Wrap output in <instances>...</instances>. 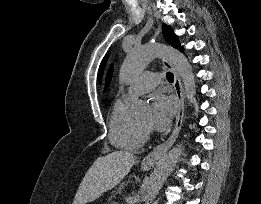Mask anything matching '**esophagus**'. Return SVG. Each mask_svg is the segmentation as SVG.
Masks as SVG:
<instances>
[{"label": "esophagus", "instance_id": "1", "mask_svg": "<svg viewBox=\"0 0 261 204\" xmlns=\"http://www.w3.org/2000/svg\"><path fill=\"white\" fill-rule=\"evenodd\" d=\"M163 65L170 69L174 74V90L177 98L178 111L176 115V123L173 129L172 134L164 143L156 146L143 160L142 167L149 169L154 167V165L159 161V159L166 154L170 147L174 144L178 134L181 130V126L184 118V96H183V87L180 80V77L174 68V66L166 59H162Z\"/></svg>", "mask_w": 261, "mask_h": 204}]
</instances>
